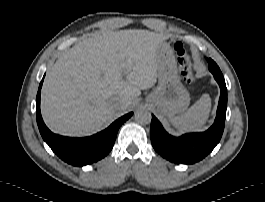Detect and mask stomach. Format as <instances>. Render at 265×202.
Wrapping results in <instances>:
<instances>
[{
	"instance_id": "stomach-1",
	"label": "stomach",
	"mask_w": 265,
	"mask_h": 202,
	"mask_svg": "<svg viewBox=\"0 0 265 202\" xmlns=\"http://www.w3.org/2000/svg\"><path fill=\"white\" fill-rule=\"evenodd\" d=\"M158 85L150 95L157 111L168 117L184 112L190 96L178 77L174 54L169 44L162 42L157 47Z\"/></svg>"
}]
</instances>
